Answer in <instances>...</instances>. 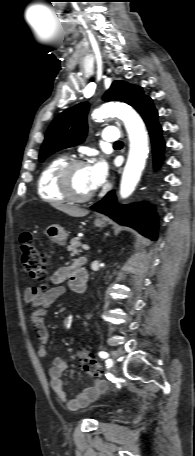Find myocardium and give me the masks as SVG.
<instances>
[{
    "instance_id": "myocardium-1",
    "label": "myocardium",
    "mask_w": 195,
    "mask_h": 456,
    "mask_svg": "<svg viewBox=\"0 0 195 456\" xmlns=\"http://www.w3.org/2000/svg\"><path fill=\"white\" fill-rule=\"evenodd\" d=\"M88 164L84 160L80 159H72L68 160L58 171L57 173V185L60 190V192L63 194V196L72 201V202H86L90 200L93 196L94 193L91 192L86 195H80L77 194L72 187L71 183V176L72 172L78 168V167H87Z\"/></svg>"
}]
</instances>
